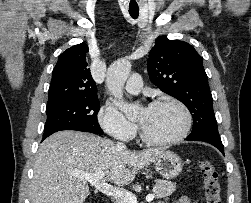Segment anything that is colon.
Masks as SVG:
<instances>
[{"mask_svg": "<svg viewBox=\"0 0 251 203\" xmlns=\"http://www.w3.org/2000/svg\"><path fill=\"white\" fill-rule=\"evenodd\" d=\"M199 170L203 176V193L205 203H221L218 172L210 161H200Z\"/></svg>", "mask_w": 251, "mask_h": 203, "instance_id": "colon-1", "label": "colon"}]
</instances>
